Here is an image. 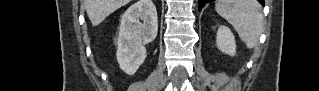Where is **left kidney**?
<instances>
[{"mask_svg":"<svg viewBox=\"0 0 319 91\" xmlns=\"http://www.w3.org/2000/svg\"><path fill=\"white\" fill-rule=\"evenodd\" d=\"M216 43L219 50L230 56L236 53L235 37L227 26H220L217 31Z\"/></svg>","mask_w":319,"mask_h":91,"instance_id":"5707ae66","label":"left kidney"}]
</instances>
